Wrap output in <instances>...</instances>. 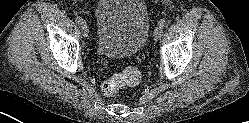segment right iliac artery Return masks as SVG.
<instances>
[{"label": "right iliac artery", "mask_w": 249, "mask_h": 123, "mask_svg": "<svg viewBox=\"0 0 249 123\" xmlns=\"http://www.w3.org/2000/svg\"><path fill=\"white\" fill-rule=\"evenodd\" d=\"M75 21H76V23L79 24V25L83 24V22H84V21H83V18L80 17V16L77 17Z\"/></svg>", "instance_id": "1"}]
</instances>
